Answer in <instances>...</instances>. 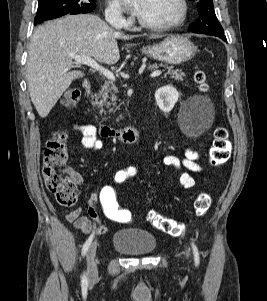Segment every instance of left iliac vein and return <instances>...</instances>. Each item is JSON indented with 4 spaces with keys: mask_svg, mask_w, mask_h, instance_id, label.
<instances>
[{
    "mask_svg": "<svg viewBox=\"0 0 267 301\" xmlns=\"http://www.w3.org/2000/svg\"><path fill=\"white\" fill-rule=\"evenodd\" d=\"M186 256H187V257L189 256V252H188V251H186Z\"/></svg>",
    "mask_w": 267,
    "mask_h": 301,
    "instance_id": "left-iliac-vein-1",
    "label": "left iliac vein"
}]
</instances>
